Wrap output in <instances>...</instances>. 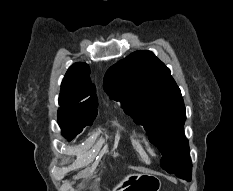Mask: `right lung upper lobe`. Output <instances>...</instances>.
I'll return each mask as SVG.
<instances>
[{
    "label": "right lung upper lobe",
    "instance_id": "1",
    "mask_svg": "<svg viewBox=\"0 0 233 191\" xmlns=\"http://www.w3.org/2000/svg\"><path fill=\"white\" fill-rule=\"evenodd\" d=\"M86 63H75L67 71L62 83L58 112L68 115L97 114L98 100Z\"/></svg>",
    "mask_w": 233,
    "mask_h": 191
}]
</instances>
